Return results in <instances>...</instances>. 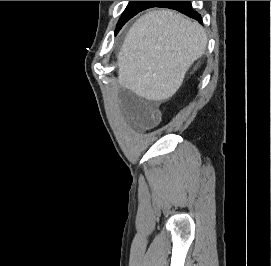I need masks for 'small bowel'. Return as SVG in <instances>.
Here are the masks:
<instances>
[{
  "mask_svg": "<svg viewBox=\"0 0 271 266\" xmlns=\"http://www.w3.org/2000/svg\"><path fill=\"white\" fill-rule=\"evenodd\" d=\"M120 75L131 85L132 75L128 69H122ZM120 98L127 112L141 126L150 127L158 122L160 104L157 101H144L131 91L122 92Z\"/></svg>",
  "mask_w": 271,
  "mask_h": 266,
  "instance_id": "small-bowel-1",
  "label": "small bowel"
}]
</instances>
